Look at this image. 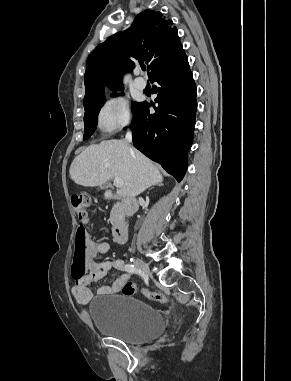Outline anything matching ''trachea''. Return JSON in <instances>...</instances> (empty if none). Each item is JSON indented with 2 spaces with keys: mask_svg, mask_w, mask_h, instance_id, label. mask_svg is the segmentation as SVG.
<instances>
[{
  "mask_svg": "<svg viewBox=\"0 0 291 381\" xmlns=\"http://www.w3.org/2000/svg\"><path fill=\"white\" fill-rule=\"evenodd\" d=\"M141 69H142L143 71H145L146 66H145V65H141Z\"/></svg>",
  "mask_w": 291,
  "mask_h": 381,
  "instance_id": "trachea-1",
  "label": "trachea"
}]
</instances>
